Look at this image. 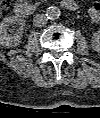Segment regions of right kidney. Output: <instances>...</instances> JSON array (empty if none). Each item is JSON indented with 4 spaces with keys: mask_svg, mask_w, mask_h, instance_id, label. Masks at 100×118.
Segmentation results:
<instances>
[{
    "mask_svg": "<svg viewBox=\"0 0 100 118\" xmlns=\"http://www.w3.org/2000/svg\"><path fill=\"white\" fill-rule=\"evenodd\" d=\"M23 23L24 19L18 16L5 17L0 22V44L6 47L17 46L21 39L20 32L17 31L14 34L13 31H10L11 34H8V29L12 24L22 25Z\"/></svg>",
    "mask_w": 100,
    "mask_h": 118,
    "instance_id": "obj_1",
    "label": "right kidney"
}]
</instances>
